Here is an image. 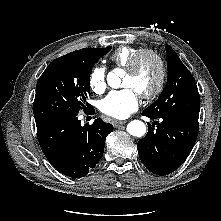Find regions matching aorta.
Wrapping results in <instances>:
<instances>
[{"instance_id": "762f6f07", "label": "aorta", "mask_w": 221, "mask_h": 221, "mask_svg": "<svg viewBox=\"0 0 221 221\" xmlns=\"http://www.w3.org/2000/svg\"><path fill=\"white\" fill-rule=\"evenodd\" d=\"M108 85L112 88H118L120 86V76L118 70L110 72L107 75ZM127 132L135 137H142L146 133V126L142 121L133 120L127 125Z\"/></svg>"}]
</instances>
